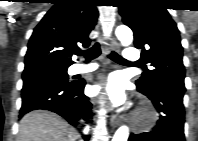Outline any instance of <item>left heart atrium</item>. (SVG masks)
I'll use <instances>...</instances> for the list:
<instances>
[{
	"label": "left heart atrium",
	"instance_id": "1",
	"mask_svg": "<svg viewBox=\"0 0 198 141\" xmlns=\"http://www.w3.org/2000/svg\"><path fill=\"white\" fill-rule=\"evenodd\" d=\"M104 90L113 104H122L125 100V94L122 81L117 77H111L104 86L94 87V93Z\"/></svg>",
	"mask_w": 198,
	"mask_h": 141
}]
</instances>
